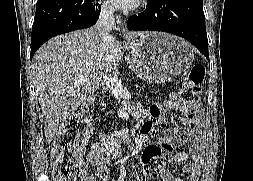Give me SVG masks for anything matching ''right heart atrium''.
I'll return each instance as SVG.
<instances>
[{
	"instance_id": "obj_1",
	"label": "right heart atrium",
	"mask_w": 253,
	"mask_h": 181,
	"mask_svg": "<svg viewBox=\"0 0 253 181\" xmlns=\"http://www.w3.org/2000/svg\"><path fill=\"white\" fill-rule=\"evenodd\" d=\"M102 9L106 12H112L113 11V6L110 3V0H104L102 3Z\"/></svg>"
}]
</instances>
